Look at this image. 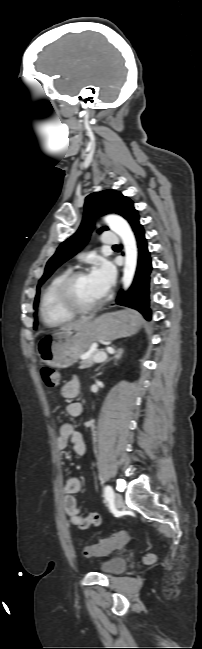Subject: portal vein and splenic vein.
Returning a JSON list of instances; mask_svg holds the SVG:
<instances>
[{"mask_svg":"<svg viewBox=\"0 0 202 649\" xmlns=\"http://www.w3.org/2000/svg\"><path fill=\"white\" fill-rule=\"evenodd\" d=\"M113 352H114V350H112V349L109 351V353H113ZM81 358L82 359H87L88 355H83ZM106 358H107L106 353H97V354H95L93 359H94V362L101 363V362H104L106 360Z\"/></svg>","mask_w":202,"mask_h":649,"instance_id":"portal-vein-and-splenic-vein-1","label":"portal vein and splenic vein"}]
</instances>
